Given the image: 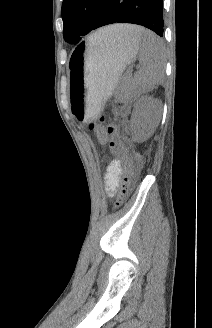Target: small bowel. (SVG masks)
<instances>
[{
    "mask_svg": "<svg viewBox=\"0 0 212 328\" xmlns=\"http://www.w3.org/2000/svg\"><path fill=\"white\" fill-rule=\"evenodd\" d=\"M124 167L119 159H114L107 167L105 173L106 190L109 196H114L121 184Z\"/></svg>",
    "mask_w": 212,
    "mask_h": 328,
    "instance_id": "1",
    "label": "small bowel"
}]
</instances>
